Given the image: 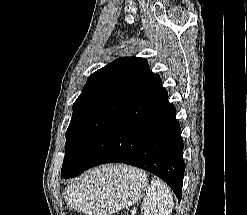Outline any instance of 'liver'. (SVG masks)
Returning <instances> with one entry per match:
<instances>
[{
    "label": "liver",
    "mask_w": 247,
    "mask_h": 215,
    "mask_svg": "<svg viewBox=\"0 0 247 215\" xmlns=\"http://www.w3.org/2000/svg\"><path fill=\"white\" fill-rule=\"evenodd\" d=\"M123 168H124V170H128V167H126V166H125V167H123Z\"/></svg>",
    "instance_id": "1"
}]
</instances>
